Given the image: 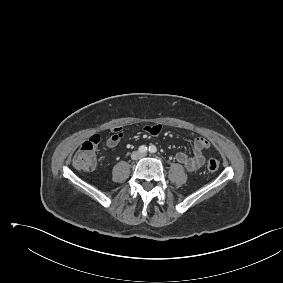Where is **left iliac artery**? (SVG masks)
<instances>
[{
  "label": "left iliac artery",
  "mask_w": 283,
  "mask_h": 283,
  "mask_svg": "<svg viewBox=\"0 0 283 283\" xmlns=\"http://www.w3.org/2000/svg\"><path fill=\"white\" fill-rule=\"evenodd\" d=\"M156 151H157V148H156L155 145L149 146V152H150V153H156Z\"/></svg>",
  "instance_id": "44dca946"
}]
</instances>
